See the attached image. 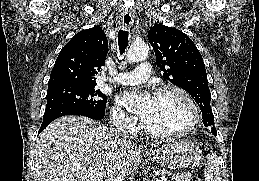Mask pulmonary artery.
Masks as SVG:
<instances>
[{
    "mask_svg": "<svg viewBox=\"0 0 259 181\" xmlns=\"http://www.w3.org/2000/svg\"><path fill=\"white\" fill-rule=\"evenodd\" d=\"M151 75V66L142 62L137 71L118 73L111 81L121 85H136L145 82Z\"/></svg>",
    "mask_w": 259,
    "mask_h": 181,
    "instance_id": "1",
    "label": "pulmonary artery"
}]
</instances>
